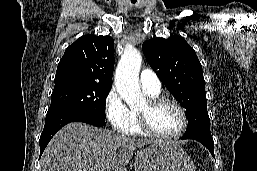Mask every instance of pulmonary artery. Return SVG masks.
Masks as SVG:
<instances>
[{
  "mask_svg": "<svg viewBox=\"0 0 257 171\" xmlns=\"http://www.w3.org/2000/svg\"><path fill=\"white\" fill-rule=\"evenodd\" d=\"M140 85L144 91L160 92L161 82L153 70L145 69L140 74Z\"/></svg>",
  "mask_w": 257,
  "mask_h": 171,
  "instance_id": "pulmonary-artery-1",
  "label": "pulmonary artery"
}]
</instances>
